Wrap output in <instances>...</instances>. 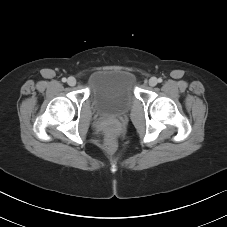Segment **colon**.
<instances>
[{"instance_id": "obj_1", "label": "colon", "mask_w": 227, "mask_h": 227, "mask_svg": "<svg viewBox=\"0 0 227 227\" xmlns=\"http://www.w3.org/2000/svg\"><path fill=\"white\" fill-rule=\"evenodd\" d=\"M104 150L108 155L114 154L116 150L115 141L112 138H109L104 144Z\"/></svg>"}]
</instances>
